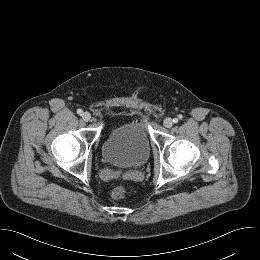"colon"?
<instances>
[{"label": "colon", "mask_w": 260, "mask_h": 260, "mask_svg": "<svg viewBox=\"0 0 260 260\" xmlns=\"http://www.w3.org/2000/svg\"><path fill=\"white\" fill-rule=\"evenodd\" d=\"M127 194V188L125 186H118L113 189L111 193V197L114 200H121L123 199Z\"/></svg>", "instance_id": "1"}]
</instances>
